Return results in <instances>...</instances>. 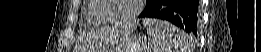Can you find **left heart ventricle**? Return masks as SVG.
Instances as JSON below:
<instances>
[{"mask_svg": "<svg viewBox=\"0 0 261 52\" xmlns=\"http://www.w3.org/2000/svg\"><path fill=\"white\" fill-rule=\"evenodd\" d=\"M110 9L105 13L107 19H122L129 15L136 6V0H108Z\"/></svg>", "mask_w": 261, "mask_h": 52, "instance_id": "obj_1", "label": "left heart ventricle"}]
</instances>
